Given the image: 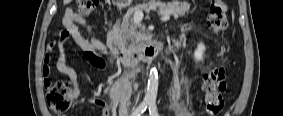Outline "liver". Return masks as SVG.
Masks as SVG:
<instances>
[{"label":"liver","instance_id":"1","mask_svg":"<svg viewBox=\"0 0 283 116\" xmlns=\"http://www.w3.org/2000/svg\"><path fill=\"white\" fill-rule=\"evenodd\" d=\"M71 2V0H64V4L67 5Z\"/></svg>","mask_w":283,"mask_h":116}]
</instances>
